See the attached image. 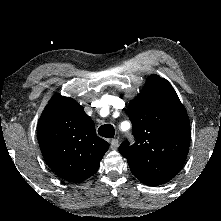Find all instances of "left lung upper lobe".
Masks as SVG:
<instances>
[{"instance_id": "left-lung-upper-lobe-1", "label": "left lung upper lobe", "mask_w": 221, "mask_h": 221, "mask_svg": "<svg viewBox=\"0 0 221 221\" xmlns=\"http://www.w3.org/2000/svg\"><path fill=\"white\" fill-rule=\"evenodd\" d=\"M128 116L136 139L125 140L119 152L131 172L149 186L164 184L182 168L190 145V121L171 84L151 75L130 102Z\"/></svg>"}]
</instances>
